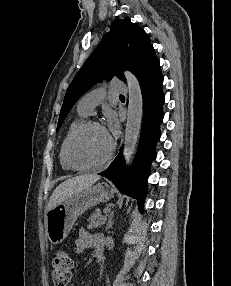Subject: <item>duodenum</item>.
<instances>
[{"label":"duodenum","instance_id":"obj_1","mask_svg":"<svg viewBox=\"0 0 231 286\" xmlns=\"http://www.w3.org/2000/svg\"><path fill=\"white\" fill-rule=\"evenodd\" d=\"M103 239L99 242L97 248H96V257L99 262H102L104 260V248H103Z\"/></svg>","mask_w":231,"mask_h":286}]
</instances>
